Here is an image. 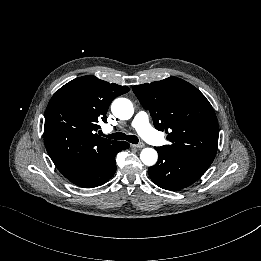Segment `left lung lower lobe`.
Returning <instances> with one entry per match:
<instances>
[{
	"label": "left lung lower lobe",
	"instance_id": "0a47b994",
	"mask_svg": "<svg viewBox=\"0 0 261 261\" xmlns=\"http://www.w3.org/2000/svg\"><path fill=\"white\" fill-rule=\"evenodd\" d=\"M159 159L149 167L151 180L166 190H181L196 182L208 169L210 162L188 155L157 149Z\"/></svg>",
	"mask_w": 261,
	"mask_h": 261
}]
</instances>
